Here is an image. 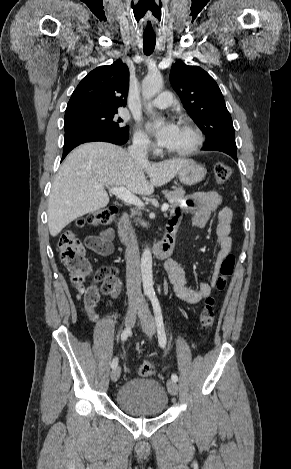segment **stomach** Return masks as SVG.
Listing matches in <instances>:
<instances>
[{"label":"stomach","mask_w":291,"mask_h":469,"mask_svg":"<svg viewBox=\"0 0 291 469\" xmlns=\"http://www.w3.org/2000/svg\"><path fill=\"white\" fill-rule=\"evenodd\" d=\"M206 175V169L200 164L191 161L183 166L178 172V178L184 185H195L203 180Z\"/></svg>","instance_id":"0dacf381"}]
</instances>
